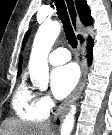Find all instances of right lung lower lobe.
<instances>
[{
    "mask_svg": "<svg viewBox=\"0 0 112 135\" xmlns=\"http://www.w3.org/2000/svg\"><path fill=\"white\" fill-rule=\"evenodd\" d=\"M88 56H87V59H88V62L89 64L91 63V60H92V48H93V39L92 38H88Z\"/></svg>",
    "mask_w": 112,
    "mask_h": 135,
    "instance_id": "98d812e1",
    "label": "right lung lower lobe"
}]
</instances>
